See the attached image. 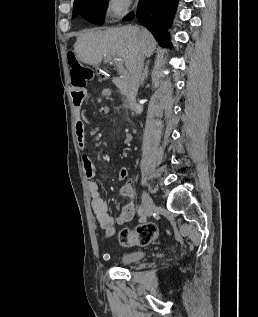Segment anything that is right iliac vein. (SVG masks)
I'll return each instance as SVG.
<instances>
[{"instance_id":"1","label":"right iliac vein","mask_w":258,"mask_h":317,"mask_svg":"<svg viewBox=\"0 0 258 317\" xmlns=\"http://www.w3.org/2000/svg\"><path fill=\"white\" fill-rule=\"evenodd\" d=\"M141 195L143 197L142 207L144 210V214H145V216L151 217L153 214L154 207H155V202H154V200H152L151 195L145 189H142Z\"/></svg>"}]
</instances>
